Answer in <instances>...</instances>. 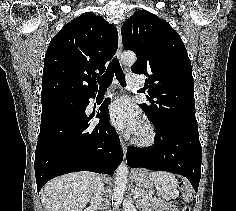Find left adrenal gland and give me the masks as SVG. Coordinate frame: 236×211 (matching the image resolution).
Returning <instances> with one entry per match:
<instances>
[{
    "label": "left adrenal gland",
    "instance_id": "obj_1",
    "mask_svg": "<svg viewBox=\"0 0 236 211\" xmlns=\"http://www.w3.org/2000/svg\"><path fill=\"white\" fill-rule=\"evenodd\" d=\"M133 192H134V190L132 189V190H131V195L133 194Z\"/></svg>",
    "mask_w": 236,
    "mask_h": 211
}]
</instances>
